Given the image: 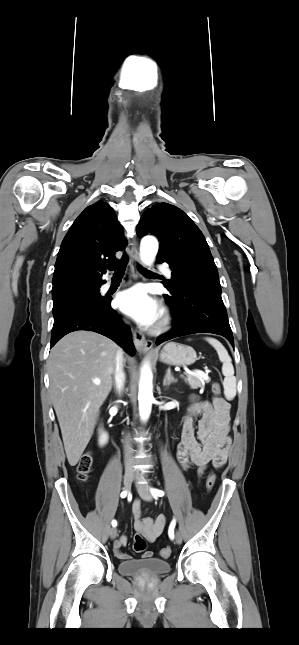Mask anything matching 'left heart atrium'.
Returning a JSON list of instances; mask_svg holds the SVG:
<instances>
[{"label": "left heart atrium", "mask_w": 299, "mask_h": 645, "mask_svg": "<svg viewBox=\"0 0 299 645\" xmlns=\"http://www.w3.org/2000/svg\"><path fill=\"white\" fill-rule=\"evenodd\" d=\"M115 303L124 314L142 325L151 324L157 317V304L141 286L120 292Z\"/></svg>", "instance_id": "1"}]
</instances>
